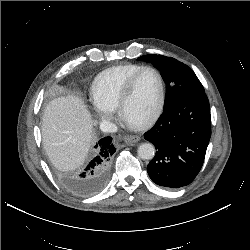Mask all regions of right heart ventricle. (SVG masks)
Wrapping results in <instances>:
<instances>
[{"label":"right heart ventricle","mask_w":250,"mask_h":250,"mask_svg":"<svg viewBox=\"0 0 250 250\" xmlns=\"http://www.w3.org/2000/svg\"><path fill=\"white\" fill-rule=\"evenodd\" d=\"M142 67L136 64H124L99 73L91 86L93 102L104 109H114L124 85Z\"/></svg>","instance_id":"1"}]
</instances>
